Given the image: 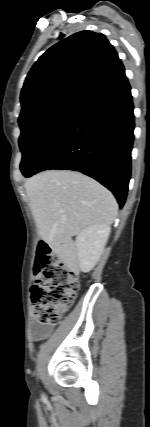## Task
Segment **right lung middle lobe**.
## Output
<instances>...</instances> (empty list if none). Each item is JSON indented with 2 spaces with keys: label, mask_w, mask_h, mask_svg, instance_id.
I'll use <instances>...</instances> for the list:
<instances>
[{
  "label": "right lung middle lobe",
  "mask_w": 150,
  "mask_h": 427,
  "mask_svg": "<svg viewBox=\"0 0 150 427\" xmlns=\"http://www.w3.org/2000/svg\"><path fill=\"white\" fill-rule=\"evenodd\" d=\"M78 108L77 105L53 104L36 108L19 117V146L23 154L20 169L25 177L34 172Z\"/></svg>",
  "instance_id": "obj_1"
}]
</instances>
